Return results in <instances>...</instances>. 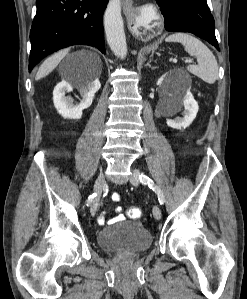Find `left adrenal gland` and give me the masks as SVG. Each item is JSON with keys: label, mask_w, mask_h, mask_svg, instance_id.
<instances>
[{"label": "left adrenal gland", "mask_w": 247, "mask_h": 299, "mask_svg": "<svg viewBox=\"0 0 247 299\" xmlns=\"http://www.w3.org/2000/svg\"><path fill=\"white\" fill-rule=\"evenodd\" d=\"M151 60L148 61V63L146 64V66H149L150 68L154 69V67L151 66Z\"/></svg>", "instance_id": "1"}]
</instances>
